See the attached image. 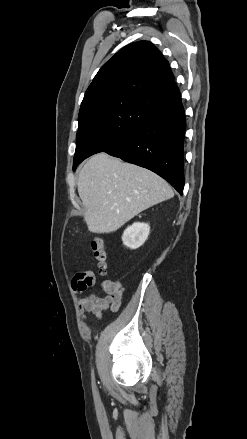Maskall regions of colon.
I'll return each instance as SVG.
<instances>
[{"label": "colon", "instance_id": "5ec220e1", "mask_svg": "<svg viewBox=\"0 0 247 439\" xmlns=\"http://www.w3.org/2000/svg\"><path fill=\"white\" fill-rule=\"evenodd\" d=\"M90 247L92 250L93 258L96 261V265L100 274H105L107 267V253L104 247V242L100 237H94L91 240Z\"/></svg>", "mask_w": 247, "mask_h": 439}]
</instances>
